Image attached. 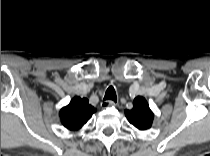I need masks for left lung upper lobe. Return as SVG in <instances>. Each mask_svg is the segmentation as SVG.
Segmentation results:
<instances>
[{
  "mask_svg": "<svg viewBox=\"0 0 210 156\" xmlns=\"http://www.w3.org/2000/svg\"><path fill=\"white\" fill-rule=\"evenodd\" d=\"M128 121L139 130H146L151 127L153 113L145 98L136 97L133 101V108L125 110Z\"/></svg>",
  "mask_w": 210,
  "mask_h": 156,
  "instance_id": "obj_1",
  "label": "left lung upper lobe"
}]
</instances>
